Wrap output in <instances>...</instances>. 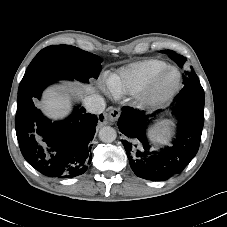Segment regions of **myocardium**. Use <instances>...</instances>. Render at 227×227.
I'll return each instance as SVG.
<instances>
[{
    "label": "myocardium",
    "instance_id": "f54148a6",
    "mask_svg": "<svg viewBox=\"0 0 227 227\" xmlns=\"http://www.w3.org/2000/svg\"><path fill=\"white\" fill-rule=\"evenodd\" d=\"M170 71L176 73L175 82L166 90L160 89L162 78ZM181 84V73L174 66H167L158 72L151 81L136 93V103L143 108H157L168 102L179 90Z\"/></svg>",
    "mask_w": 227,
    "mask_h": 227
}]
</instances>
